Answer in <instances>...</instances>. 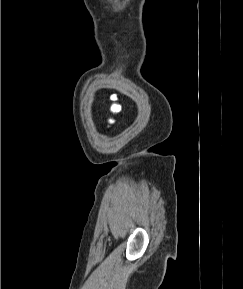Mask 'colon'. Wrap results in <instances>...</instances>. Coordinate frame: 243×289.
Returning <instances> with one entry per match:
<instances>
[{
    "instance_id": "colon-1",
    "label": "colon",
    "mask_w": 243,
    "mask_h": 289,
    "mask_svg": "<svg viewBox=\"0 0 243 289\" xmlns=\"http://www.w3.org/2000/svg\"><path fill=\"white\" fill-rule=\"evenodd\" d=\"M112 100H113V103L110 107V113L112 117H110L108 120L110 124L114 122V116L118 115L122 111V106L120 105V103L117 102V98L113 97Z\"/></svg>"
}]
</instances>
